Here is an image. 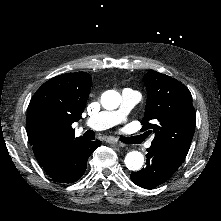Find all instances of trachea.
Masks as SVG:
<instances>
[{
    "mask_svg": "<svg viewBox=\"0 0 221 221\" xmlns=\"http://www.w3.org/2000/svg\"><path fill=\"white\" fill-rule=\"evenodd\" d=\"M84 138L89 139V140L96 139V133L92 130H87L84 133ZM120 140L122 142H125V143H128V144L132 143V137H122Z\"/></svg>",
    "mask_w": 221,
    "mask_h": 221,
    "instance_id": "obj_1",
    "label": "trachea"
}]
</instances>
